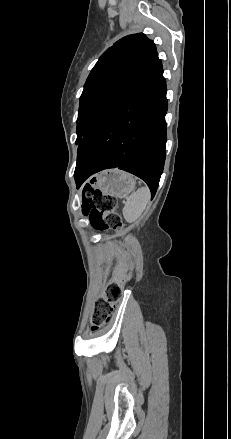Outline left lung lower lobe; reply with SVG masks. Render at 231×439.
I'll return each mask as SVG.
<instances>
[{
  "label": "left lung lower lobe",
  "mask_w": 231,
  "mask_h": 439,
  "mask_svg": "<svg viewBox=\"0 0 231 439\" xmlns=\"http://www.w3.org/2000/svg\"><path fill=\"white\" fill-rule=\"evenodd\" d=\"M168 104L162 65L138 83L80 141L75 179L119 168L143 179L154 197L166 157Z\"/></svg>",
  "instance_id": "0a47b994"
}]
</instances>
